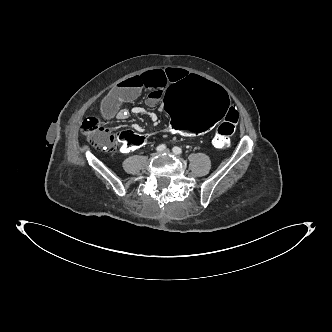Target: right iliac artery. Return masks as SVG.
<instances>
[{"instance_id": "obj_1", "label": "right iliac artery", "mask_w": 332, "mask_h": 332, "mask_svg": "<svg viewBox=\"0 0 332 332\" xmlns=\"http://www.w3.org/2000/svg\"><path fill=\"white\" fill-rule=\"evenodd\" d=\"M165 149H166V145L165 144H161V145L157 146V148H156V150L159 151V152H161V151H163Z\"/></svg>"}]
</instances>
